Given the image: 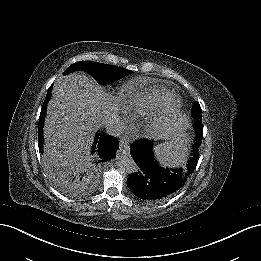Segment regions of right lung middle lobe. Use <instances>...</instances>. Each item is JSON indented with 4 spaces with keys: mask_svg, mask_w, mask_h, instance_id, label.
Returning a JSON list of instances; mask_svg holds the SVG:
<instances>
[{
    "mask_svg": "<svg viewBox=\"0 0 261 261\" xmlns=\"http://www.w3.org/2000/svg\"><path fill=\"white\" fill-rule=\"evenodd\" d=\"M75 69L87 71L100 83L114 81L130 72L129 70L117 66L89 61L76 62L69 66L65 72L67 73ZM97 159V156L94 154L91 156V160L88 163H85L84 166H79L77 168L71 167L70 165L59 167L56 171H52L51 175L60 189L64 191H74L73 187L76 186L75 191H80V186L78 184H81V182H88L89 186L91 182H94L100 168Z\"/></svg>",
    "mask_w": 261,
    "mask_h": 261,
    "instance_id": "obj_1",
    "label": "right lung middle lobe"
}]
</instances>
